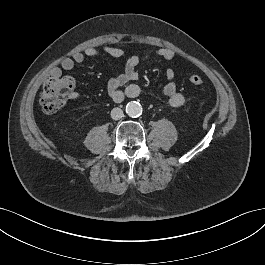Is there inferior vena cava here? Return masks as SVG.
Returning a JSON list of instances; mask_svg holds the SVG:
<instances>
[{"instance_id": "602c4592", "label": "inferior vena cava", "mask_w": 265, "mask_h": 265, "mask_svg": "<svg viewBox=\"0 0 265 265\" xmlns=\"http://www.w3.org/2000/svg\"><path fill=\"white\" fill-rule=\"evenodd\" d=\"M124 116V114H123V111H122V109H120V108H113L112 110H111V118L113 119V120H119V119H121L122 117Z\"/></svg>"}]
</instances>
